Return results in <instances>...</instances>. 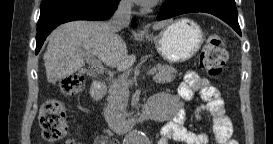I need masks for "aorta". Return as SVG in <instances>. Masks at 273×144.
<instances>
[{
    "label": "aorta",
    "instance_id": "1",
    "mask_svg": "<svg viewBox=\"0 0 273 144\" xmlns=\"http://www.w3.org/2000/svg\"><path fill=\"white\" fill-rule=\"evenodd\" d=\"M147 142L146 135L139 131L129 134L125 139V144H147Z\"/></svg>",
    "mask_w": 273,
    "mask_h": 144
}]
</instances>
